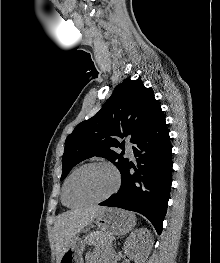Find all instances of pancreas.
Listing matches in <instances>:
<instances>
[{"label": "pancreas", "mask_w": 220, "mask_h": 263, "mask_svg": "<svg viewBox=\"0 0 220 263\" xmlns=\"http://www.w3.org/2000/svg\"><path fill=\"white\" fill-rule=\"evenodd\" d=\"M101 237H102V233L100 231H96L89 234L85 238V242L87 244H93L96 247H104L105 243Z\"/></svg>", "instance_id": "obj_1"}]
</instances>
